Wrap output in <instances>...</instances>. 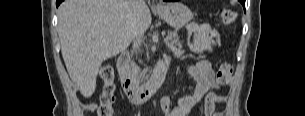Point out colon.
Instances as JSON below:
<instances>
[{
	"instance_id": "5ec220e1",
	"label": "colon",
	"mask_w": 305,
	"mask_h": 116,
	"mask_svg": "<svg viewBox=\"0 0 305 116\" xmlns=\"http://www.w3.org/2000/svg\"><path fill=\"white\" fill-rule=\"evenodd\" d=\"M220 16L225 25H232L237 18L236 12L230 8H223ZM232 72L231 64L227 62L221 63L216 74L217 82L220 85H226L231 78ZM99 74L104 85L100 97L98 116H113V104L115 101L114 70L110 65H104L101 67Z\"/></svg>"
}]
</instances>
